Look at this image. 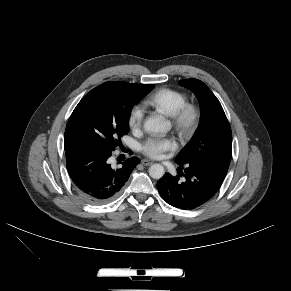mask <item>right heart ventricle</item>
<instances>
[{
    "mask_svg": "<svg viewBox=\"0 0 291 291\" xmlns=\"http://www.w3.org/2000/svg\"><path fill=\"white\" fill-rule=\"evenodd\" d=\"M186 102L187 96L183 92L171 88L158 89L144 101L146 106L169 117Z\"/></svg>",
    "mask_w": 291,
    "mask_h": 291,
    "instance_id": "obj_1",
    "label": "right heart ventricle"
}]
</instances>
